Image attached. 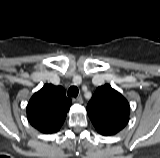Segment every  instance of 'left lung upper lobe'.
<instances>
[{
	"instance_id": "obj_1",
	"label": "left lung upper lobe",
	"mask_w": 160,
	"mask_h": 158,
	"mask_svg": "<svg viewBox=\"0 0 160 158\" xmlns=\"http://www.w3.org/2000/svg\"><path fill=\"white\" fill-rule=\"evenodd\" d=\"M86 110L95 129L108 135H115L129 121V103L109 84L96 89Z\"/></svg>"
}]
</instances>
